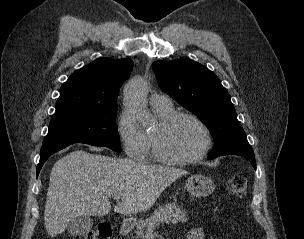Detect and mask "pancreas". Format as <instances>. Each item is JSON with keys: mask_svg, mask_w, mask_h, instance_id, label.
I'll list each match as a JSON object with an SVG mask.
<instances>
[{"mask_svg": "<svg viewBox=\"0 0 304 239\" xmlns=\"http://www.w3.org/2000/svg\"><path fill=\"white\" fill-rule=\"evenodd\" d=\"M186 221V212L182 210L176 202L165 204L154 210V213L150 215V217L140 219L137 222V239H144L146 231L154 229L155 225H159L161 223L177 224L178 222Z\"/></svg>", "mask_w": 304, "mask_h": 239, "instance_id": "1", "label": "pancreas"}]
</instances>
